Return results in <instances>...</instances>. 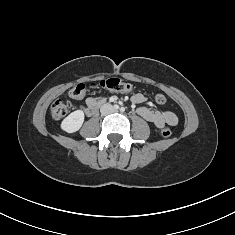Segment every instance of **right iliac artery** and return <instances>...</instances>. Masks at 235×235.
I'll use <instances>...</instances> for the list:
<instances>
[{
  "label": "right iliac artery",
  "mask_w": 235,
  "mask_h": 235,
  "mask_svg": "<svg viewBox=\"0 0 235 235\" xmlns=\"http://www.w3.org/2000/svg\"><path fill=\"white\" fill-rule=\"evenodd\" d=\"M115 109H119V106L117 104L114 105Z\"/></svg>",
  "instance_id": "obj_1"
}]
</instances>
